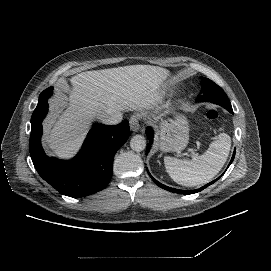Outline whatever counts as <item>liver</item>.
<instances>
[{
    "mask_svg": "<svg viewBox=\"0 0 271 271\" xmlns=\"http://www.w3.org/2000/svg\"><path fill=\"white\" fill-rule=\"evenodd\" d=\"M165 75L162 68L135 65L84 72L67 79L60 88L64 100L54 105L52 119L46 123L45 145L69 155L80 143L88 119L108 110L147 108Z\"/></svg>",
    "mask_w": 271,
    "mask_h": 271,
    "instance_id": "obj_1",
    "label": "liver"
}]
</instances>
